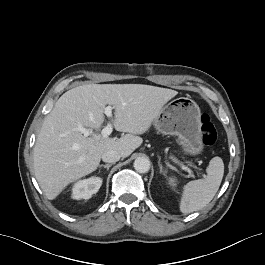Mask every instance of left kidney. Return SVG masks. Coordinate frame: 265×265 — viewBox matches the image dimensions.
<instances>
[{
    "mask_svg": "<svg viewBox=\"0 0 265 265\" xmlns=\"http://www.w3.org/2000/svg\"><path fill=\"white\" fill-rule=\"evenodd\" d=\"M169 184L171 186H175L176 185V180L174 178H169Z\"/></svg>",
    "mask_w": 265,
    "mask_h": 265,
    "instance_id": "1",
    "label": "left kidney"
}]
</instances>
